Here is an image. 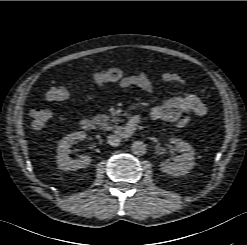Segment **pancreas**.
<instances>
[{
	"instance_id": "cf45deb5",
	"label": "pancreas",
	"mask_w": 247,
	"mask_h": 245,
	"mask_svg": "<svg viewBox=\"0 0 247 245\" xmlns=\"http://www.w3.org/2000/svg\"><path fill=\"white\" fill-rule=\"evenodd\" d=\"M94 120V122L101 126L104 130H112V122H114V120L111 119V117L107 116V115H96L92 118Z\"/></svg>"
}]
</instances>
